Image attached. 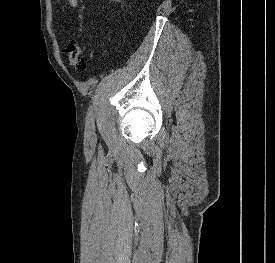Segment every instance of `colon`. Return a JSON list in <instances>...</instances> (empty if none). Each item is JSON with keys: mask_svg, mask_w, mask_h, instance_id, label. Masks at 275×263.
<instances>
[{"mask_svg": "<svg viewBox=\"0 0 275 263\" xmlns=\"http://www.w3.org/2000/svg\"><path fill=\"white\" fill-rule=\"evenodd\" d=\"M67 62L70 67L78 72L86 69L84 49L77 39H71L67 46Z\"/></svg>", "mask_w": 275, "mask_h": 263, "instance_id": "colon-1", "label": "colon"}]
</instances>
